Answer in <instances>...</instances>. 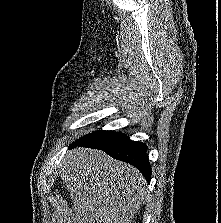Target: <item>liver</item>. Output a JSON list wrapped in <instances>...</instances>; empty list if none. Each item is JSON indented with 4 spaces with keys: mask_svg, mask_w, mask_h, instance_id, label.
<instances>
[{
    "mask_svg": "<svg viewBox=\"0 0 221 223\" xmlns=\"http://www.w3.org/2000/svg\"><path fill=\"white\" fill-rule=\"evenodd\" d=\"M60 167L74 202L72 210L58 213L57 223H130L146 196L140 172L105 152L78 147Z\"/></svg>",
    "mask_w": 221,
    "mask_h": 223,
    "instance_id": "1",
    "label": "liver"
}]
</instances>
